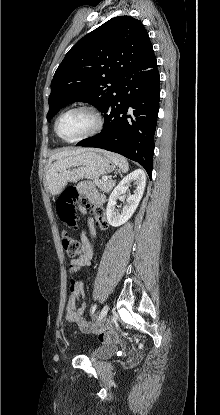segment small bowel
Returning a JSON list of instances; mask_svg holds the SVG:
<instances>
[{
  "label": "small bowel",
  "mask_w": 220,
  "mask_h": 415,
  "mask_svg": "<svg viewBox=\"0 0 220 415\" xmlns=\"http://www.w3.org/2000/svg\"><path fill=\"white\" fill-rule=\"evenodd\" d=\"M80 193V211L86 216L84 219V228L81 233L80 247L81 255L79 259L71 261L69 271L71 273L79 272L82 269L88 268L91 265V260L94 255L95 246V232H94V219L88 215L89 210L94 206H104L105 196L98 191L92 182L83 181L77 186ZM96 223L100 229H106L108 224L105 215L100 218L95 216ZM85 303H84V290L81 283H77L76 290L69 294L66 304V320L71 324L77 325L81 331L91 334L104 333L105 326L99 325V327L93 328L84 316ZM110 339L101 340L107 342Z\"/></svg>",
  "instance_id": "obj_1"
}]
</instances>
